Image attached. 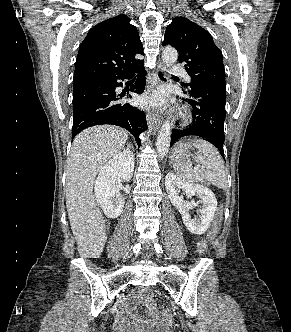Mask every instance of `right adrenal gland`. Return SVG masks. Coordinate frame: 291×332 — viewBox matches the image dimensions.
Listing matches in <instances>:
<instances>
[{
  "label": "right adrenal gland",
  "mask_w": 291,
  "mask_h": 332,
  "mask_svg": "<svg viewBox=\"0 0 291 332\" xmlns=\"http://www.w3.org/2000/svg\"><path fill=\"white\" fill-rule=\"evenodd\" d=\"M128 148H131V144L128 145Z\"/></svg>",
  "instance_id": "obj_1"
}]
</instances>
